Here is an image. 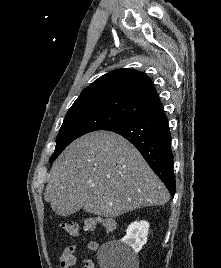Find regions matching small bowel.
<instances>
[{
    "instance_id": "obj_1",
    "label": "small bowel",
    "mask_w": 221,
    "mask_h": 268,
    "mask_svg": "<svg viewBox=\"0 0 221 268\" xmlns=\"http://www.w3.org/2000/svg\"><path fill=\"white\" fill-rule=\"evenodd\" d=\"M87 250L90 253H94L98 249V243L96 241H89L86 245ZM81 251L78 244H71L67 246L59 257V263L61 268H71L75 266L79 259L77 254ZM84 268H95L94 262L91 258H84L81 260Z\"/></svg>"
}]
</instances>
